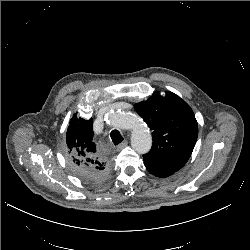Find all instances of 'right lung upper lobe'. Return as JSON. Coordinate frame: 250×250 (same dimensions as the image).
<instances>
[{
    "mask_svg": "<svg viewBox=\"0 0 250 250\" xmlns=\"http://www.w3.org/2000/svg\"><path fill=\"white\" fill-rule=\"evenodd\" d=\"M66 155L72 164L83 170L109 169V160L96 149L93 142L92 118H77V113L70 120L67 130Z\"/></svg>",
    "mask_w": 250,
    "mask_h": 250,
    "instance_id": "obj_1",
    "label": "right lung upper lobe"
}]
</instances>
